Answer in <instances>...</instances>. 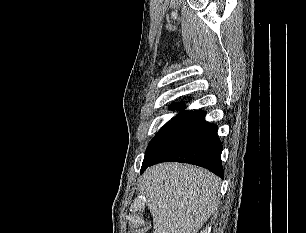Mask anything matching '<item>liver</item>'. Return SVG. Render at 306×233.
Returning <instances> with one entry per match:
<instances>
[{"label": "liver", "instance_id": "1", "mask_svg": "<svg viewBox=\"0 0 306 233\" xmlns=\"http://www.w3.org/2000/svg\"><path fill=\"white\" fill-rule=\"evenodd\" d=\"M219 178L190 165L162 163L150 167L141 180L153 233H198L217 210Z\"/></svg>", "mask_w": 306, "mask_h": 233}]
</instances>
